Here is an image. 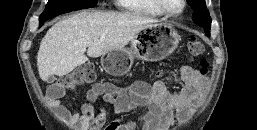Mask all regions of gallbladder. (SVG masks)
I'll return each mask as SVG.
<instances>
[{"mask_svg":"<svg viewBox=\"0 0 257 130\" xmlns=\"http://www.w3.org/2000/svg\"><path fill=\"white\" fill-rule=\"evenodd\" d=\"M54 80H55L54 76H49L46 81L48 83H52V82H54Z\"/></svg>","mask_w":257,"mask_h":130,"instance_id":"bac80fb5","label":"gallbladder"}]
</instances>
